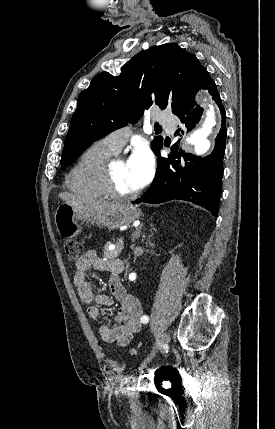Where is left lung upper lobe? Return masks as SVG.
<instances>
[{"label":"left lung upper lobe","mask_w":275,"mask_h":429,"mask_svg":"<svg viewBox=\"0 0 275 429\" xmlns=\"http://www.w3.org/2000/svg\"><path fill=\"white\" fill-rule=\"evenodd\" d=\"M203 68L195 55L167 43L139 52L122 66L120 75H96L78 97L61 167L69 166L93 142L135 123L152 105L176 114L193 97ZM152 145L157 152L163 138L156 136Z\"/></svg>","instance_id":"5c2ea615"}]
</instances>
